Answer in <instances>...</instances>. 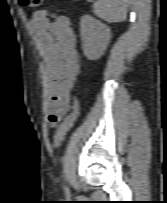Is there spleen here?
<instances>
[{
  "mask_svg": "<svg viewBox=\"0 0 167 203\" xmlns=\"http://www.w3.org/2000/svg\"><path fill=\"white\" fill-rule=\"evenodd\" d=\"M127 6L128 0H97L93 12L108 22H121L127 17Z\"/></svg>",
  "mask_w": 167,
  "mask_h": 203,
  "instance_id": "obj_1",
  "label": "spleen"
}]
</instances>
